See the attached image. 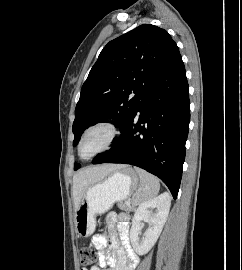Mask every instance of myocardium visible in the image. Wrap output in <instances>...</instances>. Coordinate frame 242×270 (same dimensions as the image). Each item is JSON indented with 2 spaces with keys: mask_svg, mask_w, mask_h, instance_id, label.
Instances as JSON below:
<instances>
[{
  "mask_svg": "<svg viewBox=\"0 0 242 270\" xmlns=\"http://www.w3.org/2000/svg\"><path fill=\"white\" fill-rule=\"evenodd\" d=\"M98 128H102V129H105L107 131L108 135H107V139H106L105 144L103 145V147L101 149H99L97 152H95L91 156L83 157L81 155V145H82L84 138L86 137V135L89 132H91L92 130L98 129ZM119 133H120L119 127H118L117 123L114 122L113 120L101 119V120H98V121L92 123L82 132V134L80 136V139H79L78 144H77L78 156L81 159L90 160V159L96 157L97 155L104 153L105 151L109 150L111 148V146L115 143V141L117 140V138L119 136Z\"/></svg>",
  "mask_w": 242,
  "mask_h": 270,
  "instance_id": "obj_1",
  "label": "myocardium"
}]
</instances>
